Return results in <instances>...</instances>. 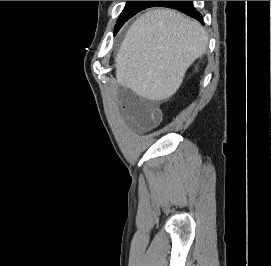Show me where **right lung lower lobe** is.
I'll list each match as a JSON object with an SVG mask.
<instances>
[{
    "mask_svg": "<svg viewBox=\"0 0 271 266\" xmlns=\"http://www.w3.org/2000/svg\"><path fill=\"white\" fill-rule=\"evenodd\" d=\"M155 6L177 9L203 23L202 15L196 11L192 1H159Z\"/></svg>",
    "mask_w": 271,
    "mask_h": 266,
    "instance_id": "1",
    "label": "right lung lower lobe"
}]
</instances>
